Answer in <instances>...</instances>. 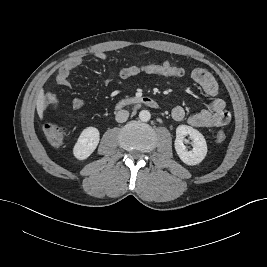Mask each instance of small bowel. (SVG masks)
<instances>
[{"instance_id":"obj_1","label":"small bowel","mask_w":267,"mask_h":267,"mask_svg":"<svg viewBox=\"0 0 267 267\" xmlns=\"http://www.w3.org/2000/svg\"><path fill=\"white\" fill-rule=\"evenodd\" d=\"M99 60H105L104 52H97L95 54ZM80 56L74 57L61 66L56 75V84L63 88H70L69 81L70 74L82 64ZM184 74V70L181 75ZM120 78L119 72L112 74ZM191 78L196 82L202 90L210 97H214L207 109L187 114L186 110L181 106H176L171 111V116L177 121L187 119V122L193 127L217 128L226 125L230 121V113L226 110L225 101L216 97L219 91L218 83L211 73L203 68H195L191 72ZM121 79V78H120ZM108 80H105V84ZM59 103V98L52 93H47L43 99V106H56ZM85 105L82 98H74L71 106L74 110H79Z\"/></svg>"}]
</instances>
